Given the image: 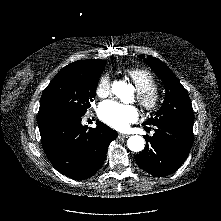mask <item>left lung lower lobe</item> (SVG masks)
<instances>
[{
	"mask_svg": "<svg viewBox=\"0 0 221 221\" xmlns=\"http://www.w3.org/2000/svg\"><path fill=\"white\" fill-rule=\"evenodd\" d=\"M156 127L152 137L145 136L146 146L135 161L151 175L164 177L186 160L193 142V123L162 122Z\"/></svg>",
	"mask_w": 221,
	"mask_h": 221,
	"instance_id": "0a47b994",
	"label": "left lung lower lobe"
}]
</instances>
